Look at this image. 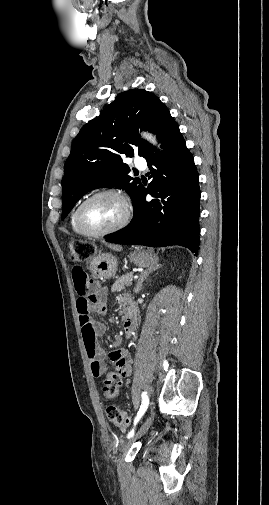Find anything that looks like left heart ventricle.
<instances>
[{
  "mask_svg": "<svg viewBox=\"0 0 269 505\" xmlns=\"http://www.w3.org/2000/svg\"><path fill=\"white\" fill-rule=\"evenodd\" d=\"M124 216V205L116 197L103 196L91 201L82 214L83 222L93 230H105L116 225Z\"/></svg>",
  "mask_w": 269,
  "mask_h": 505,
  "instance_id": "1",
  "label": "left heart ventricle"
}]
</instances>
